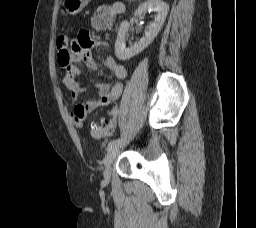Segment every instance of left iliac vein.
Listing matches in <instances>:
<instances>
[{"instance_id": "4c4485c4", "label": "left iliac vein", "mask_w": 256, "mask_h": 228, "mask_svg": "<svg viewBox=\"0 0 256 228\" xmlns=\"http://www.w3.org/2000/svg\"><path fill=\"white\" fill-rule=\"evenodd\" d=\"M123 142L120 141L117 144L113 145L112 147H110L107 151V154L104 158V165H105V171H104V182L108 183L110 180V176H111V164L113 162V160L115 159V157L117 156L120 148L122 147Z\"/></svg>"}]
</instances>
